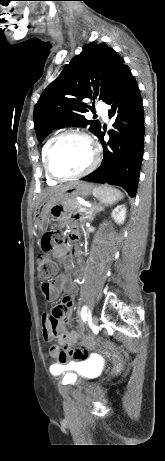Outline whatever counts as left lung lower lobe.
I'll use <instances>...</instances> for the list:
<instances>
[{"instance_id": "1", "label": "left lung lower lobe", "mask_w": 165, "mask_h": 461, "mask_svg": "<svg viewBox=\"0 0 165 461\" xmlns=\"http://www.w3.org/2000/svg\"><path fill=\"white\" fill-rule=\"evenodd\" d=\"M105 103L111 106L110 118L117 117L113 127L120 133L110 132L108 143L102 131L97 135L104 149L103 161L81 180L119 185L134 197L143 158L145 127L142 98L129 68Z\"/></svg>"}]
</instances>
